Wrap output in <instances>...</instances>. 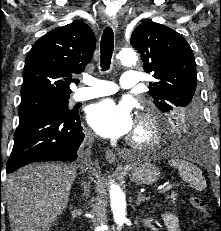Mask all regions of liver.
<instances>
[{
    "label": "liver",
    "instance_id": "liver-1",
    "mask_svg": "<svg viewBox=\"0 0 221 231\" xmlns=\"http://www.w3.org/2000/svg\"><path fill=\"white\" fill-rule=\"evenodd\" d=\"M76 176L74 165L60 163L30 164L9 175L5 198L12 231H50Z\"/></svg>",
    "mask_w": 221,
    "mask_h": 231
}]
</instances>
